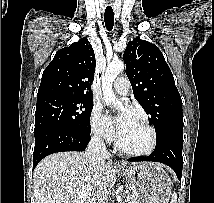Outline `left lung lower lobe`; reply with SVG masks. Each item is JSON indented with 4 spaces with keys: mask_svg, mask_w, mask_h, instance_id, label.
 Segmentation results:
<instances>
[{
    "mask_svg": "<svg viewBox=\"0 0 214 203\" xmlns=\"http://www.w3.org/2000/svg\"><path fill=\"white\" fill-rule=\"evenodd\" d=\"M183 128L170 129L163 137L157 139L156 147L147 157H133L129 161L160 162L171 167L181 181L183 168Z\"/></svg>",
    "mask_w": 214,
    "mask_h": 203,
    "instance_id": "1",
    "label": "left lung lower lobe"
}]
</instances>
